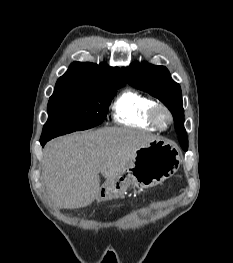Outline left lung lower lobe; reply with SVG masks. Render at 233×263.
Here are the masks:
<instances>
[{
  "label": "left lung lower lobe",
  "instance_id": "left-lung-lower-lobe-1",
  "mask_svg": "<svg viewBox=\"0 0 233 263\" xmlns=\"http://www.w3.org/2000/svg\"><path fill=\"white\" fill-rule=\"evenodd\" d=\"M181 147L183 150L187 151L188 148V140L187 139H179Z\"/></svg>",
  "mask_w": 233,
  "mask_h": 263
}]
</instances>
